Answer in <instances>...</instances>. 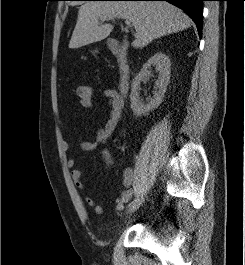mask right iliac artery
<instances>
[{"label":"right iliac artery","mask_w":245,"mask_h":265,"mask_svg":"<svg viewBox=\"0 0 245 265\" xmlns=\"http://www.w3.org/2000/svg\"><path fill=\"white\" fill-rule=\"evenodd\" d=\"M118 210H123L124 209V204H118L117 205Z\"/></svg>","instance_id":"obj_1"}]
</instances>
